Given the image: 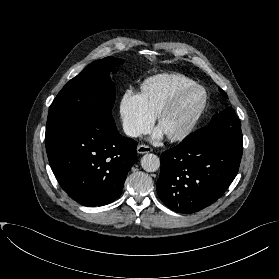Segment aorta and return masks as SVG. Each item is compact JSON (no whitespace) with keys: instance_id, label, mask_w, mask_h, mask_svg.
<instances>
[{"instance_id":"762f6f07","label":"aorta","mask_w":279,"mask_h":279,"mask_svg":"<svg viewBox=\"0 0 279 279\" xmlns=\"http://www.w3.org/2000/svg\"><path fill=\"white\" fill-rule=\"evenodd\" d=\"M141 166L147 172H155L160 167V159L155 154H145L141 159Z\"/></svg>"}]
</instances>
